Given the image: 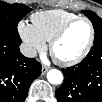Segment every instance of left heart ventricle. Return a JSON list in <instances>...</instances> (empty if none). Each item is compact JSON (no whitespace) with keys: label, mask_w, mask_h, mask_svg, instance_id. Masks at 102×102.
<instances>
[{"label":"left heart ventricle","mask_w":102,"mask_h":102,"mask_svg":"<svg viewBox=\"0 0 102 102\" xmlns=\"http://www.w3.org/2000/svg\"><path fill=\"white\" fill-rule=\"evenodd\" d=\"M90 30L85 22L73 25L54 48L53 54L60 60H70L77 57L86 46Z\"/></svg>","instance_id":"1"}]
</instances>
